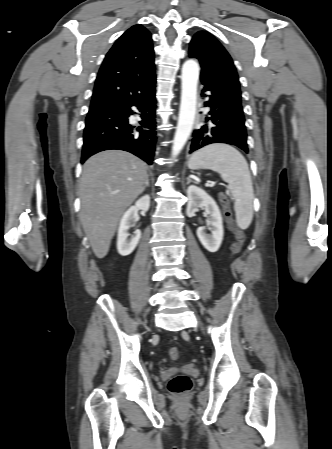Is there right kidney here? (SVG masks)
<instances>
[{
  "mask_svg": "<svg viewBox=\"0 0 332 449\" xmlns=\"http://www.w3.org/2000/svg\"><path fill=\"white\" fill-rule=\"evenodd\" d=\"M150 207V197L149 195H145L136 201L134 206H131L123 215L119 229H118V237H117V250L120 255L127 256L133 252L136 248L140 238L141 231L136 230L134 235L128 239V230L136 221H138V211H148Z\"/></svg>",
  "mask_w": 332,
  "mask_h": 449,
  "instance_id": "ca27d5eb",
  "label": "right kidney"
}]
</instances>
